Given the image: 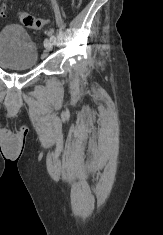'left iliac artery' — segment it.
Here are the masks:
<instances>
[{"label":"left iliac artery","instance_id":"left-iliac-artery-1","mask_svg":"<svg viewBox=\"0 0 163 235\" xmlns=\"http://www.w3.org/2000/svg\"><path fill=\"white\" fill-rule=\"evenodd\" d=\"M53 33H54V30H53V29H50V31L48 32V35L50 36L51 39L54 40V43H55L56 38H55V36L53 35Z\"/></svg>","mask_w":163,"mask_h":235}]
</instances>
